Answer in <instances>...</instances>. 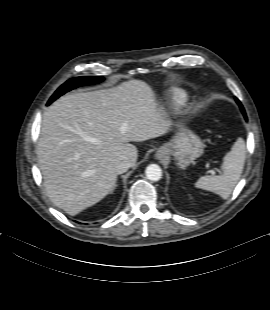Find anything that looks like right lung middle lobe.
Instances as JSON below:
<instances>
[{
    "instance_id": "1",
    "label": "right lung middle lobe",
    "mask_w": 270,
    "mask_h": 310,
    "mask_svg": "<svg viewBox=\"0 0 270 310\" xmlns=\"http://www.w3.org/2000/svg\"><path fill=\"white\" fill-rule=\"evenodd\" d=\"M101 81H103V77L86 76V77L72 78L57 89V91L52 95V97L48 101V105L51 104L54 100H56L59 96L63 95L67 91H70L71 89H74L82 85L99 83Z\"/></svg>"
}]
</instances>
